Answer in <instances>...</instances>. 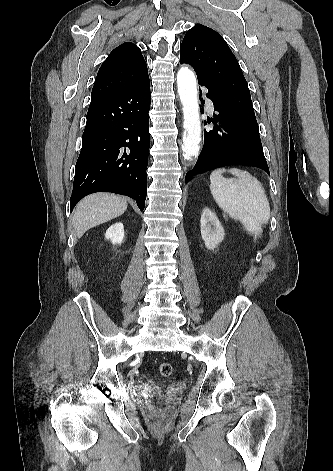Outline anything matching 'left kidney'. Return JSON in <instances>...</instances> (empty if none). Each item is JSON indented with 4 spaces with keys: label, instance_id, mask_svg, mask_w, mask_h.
Returning a JSON list of instances; mask_svg holds the SVG:
<instances>
[{
    "label": "left kidney",
    "instance_id": "left-kidney-1",
    "mask_svg": "<svg viewBox=\"0 0 333 471\" xmlns=\"http://www.w3.org/2000/svg\"><path fill=\"white\" fill-rule=\"evenodd\" d=\"M201 236L205 246L214 250L224 239V229L215 213L209 208H204L201 215Z\"/></svg>",
    "mask_w": 333,
    "mask_h": 471
}]
</instances>
